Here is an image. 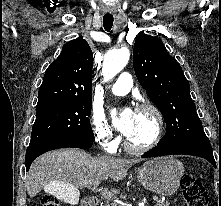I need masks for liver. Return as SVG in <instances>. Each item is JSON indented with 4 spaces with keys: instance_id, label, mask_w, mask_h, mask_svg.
Wrapping results in <instances>:
<instances>
[{
    "instance_id": "obj_1",
    "label": "liver",
    "mask_w": 221,
    "mask_h": 206,
    "mask_svg": "<svg viewBox=\"0 0 221 206\" xmlns=\"http://www.w3.org/2000/svg\"><path fill=\"white\" fill-rule=\"evenodd\" d=\"M140 161L106 156L94 158L78 149L51 151L38 157L31 165L25 182L27 192L30 197L42 189L53 193L51 185L58 183L65 185L68 192L74 191L78 197V188L97 186L106 178L122 180L128 169ZM112 191L118 192L114 188Z\"/></svg>"
}]
</instances>
